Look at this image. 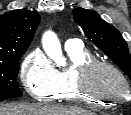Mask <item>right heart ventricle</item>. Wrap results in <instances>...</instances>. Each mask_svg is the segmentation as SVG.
Returning a JSON list of instances; mask_svg holds the SVG:
<instances>
[{
  "label": "right heart ventricle",
  "mask_w": 131,
  "mask_h": 115,
  "mask_svg": "<svg viewBox=\"0 0 131 115\" xmlns=\"http://www.w3.org/2000/svg\"><path fill=\"white\" fill-rule=\"evenodd\" d=\"M67 56L70 60V66L63 70L57 71L59 78V89L55 94L54 99H63L68 102L85 104L94 107L105 106V104L101 101L87 98L81 95L75 89V71L82 64L95 59L94 55L84 47H76V48H65Z\"/></svg>",
  "instance_id": "obj_1"
}]
</instances>
